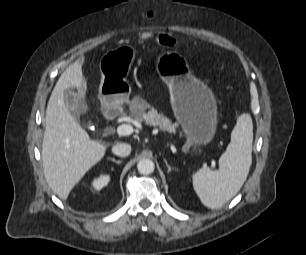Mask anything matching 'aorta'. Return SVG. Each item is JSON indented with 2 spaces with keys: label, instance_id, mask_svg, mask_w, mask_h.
I'll return each instance as SVG.
<instances>
[{
  "label": "aorta",
  "instance_id": "762f6f07",
  "mask_svg": "<svg viewBox=\"0 0 306 255\" xmlns=\"http://www.w3.org/2000/svg\"><path fill=\"white\" fill-rule=\"evenodd\" d=\"M137 169L141 174L147 175L154 171L155 165L150 159H141L137 164Z\"/></svg>",
  "mask_w": 306,
  "mask_h": 255
}]
</instances>
